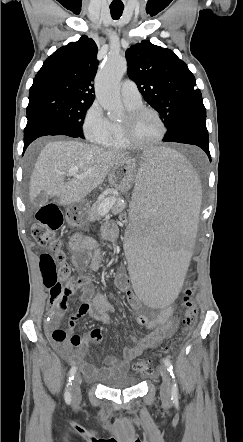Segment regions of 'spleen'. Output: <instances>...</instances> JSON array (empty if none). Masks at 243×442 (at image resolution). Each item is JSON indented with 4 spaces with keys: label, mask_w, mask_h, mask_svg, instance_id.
<instances>
[{
    "label": "spleen",
    "mask_w": 243,
    "mask_h": 442,
    "mask_svg": "<svg viewBox=\"0 0 243 442\" xmlns=\"http://www.w3.org/2000/svg\"><path fill=\"white\" fill-rule=\"evenodd\" d=\"M131 184L130 239H124L134 296L146 307H167L180 295L192 258L202 179L177 152L142 147Z\"/></svg>",
    "instance_id": "1"
}]
</instances>
